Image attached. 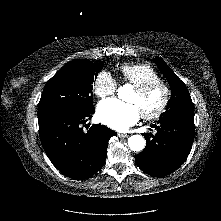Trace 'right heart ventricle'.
<instances>
[{
    "instance_id": "obj_1",
    "label": "right heart ventricle",
    "mask_w": 221,
    "mask_h": 221,
    "mask_svg": "<svg viewBox=\"0 0 221 221\" xmlns=\"http://www.w3.org/2000/svg\"><path fill=\"white\" fill-rule=\"evenodd\" d=\"M119 72L123 81L134 87L160 80L159 74L148 64H123L119 67Z\"/></svg>"
}]
</instances>
